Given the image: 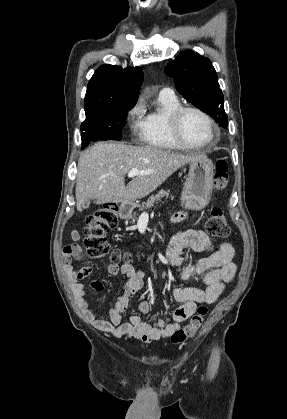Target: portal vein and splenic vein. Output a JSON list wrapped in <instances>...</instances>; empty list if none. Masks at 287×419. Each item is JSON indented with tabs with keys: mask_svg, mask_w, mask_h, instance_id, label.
<instances>
[{
	"mask_svg": "<svg viewBox=\"0 0 287 419\" xmlns=\"http://www.w3.org/2000/svg\"><path fill=\"white\" fill-rule=\"evenodd\" d=\"M149 173H150V171H139L138 169H131L128 172V177L129 178H133V177H135L137 175H147Z\"/></svg>",
	"mask_w": 287,
	"mask_h": 419,
	"instance_id": "18ae733b",
	"label": "portal vein and splenic vein"
}]
</instances>
